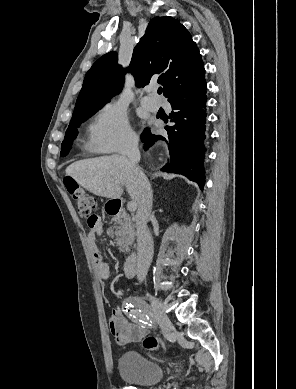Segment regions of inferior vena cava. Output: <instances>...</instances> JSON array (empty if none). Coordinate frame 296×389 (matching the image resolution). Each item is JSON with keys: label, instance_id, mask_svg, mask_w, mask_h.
<instances>
[{"label": "inferior vena cava", "instance_id": "inferior-vena-cava-1", "mask_svg": "<svg viewBox=\"0 0 296 389\" xmlns=\"http://www.w3.org/2000/svg\"><path fill=\"white\" fill-rule=\"evenodd\" d=\"M139 138L136 135L129 137L126 147V156L129 161V166L137 178L139 185V203L136 213V230L138 243L143 248V254L137 264V277L140 282L147 275L148 269L152 261L153 240L147 227V222L151 214L153 194L150 183L142 170L138 167L140 160V152L138 148ZM146 248V249H144Z\"/></svg>", "mask_w": 296, "mask_h": 389}]
</instances>
